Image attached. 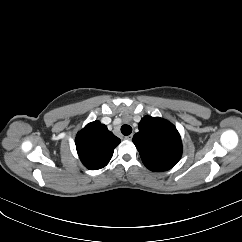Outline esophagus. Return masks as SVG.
Segmentation results:
<instances>
[{
    "label": "esophagus",
    "instance_id": "esophagus-1",
    "mask_svg": "<svg viewBox=\"0 0 242 242\" xmlns=\"http://www.w3.org/2000/svg\"><path fill=\"white\" fill-rule=\"evenodd\" d=\"M133 138V134H130V135H128V136H125V139L126 140H131Z\"/></svg>",
    "mask_w": 242,
    "mask_h": 242
}]
</instances>
